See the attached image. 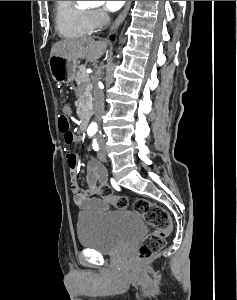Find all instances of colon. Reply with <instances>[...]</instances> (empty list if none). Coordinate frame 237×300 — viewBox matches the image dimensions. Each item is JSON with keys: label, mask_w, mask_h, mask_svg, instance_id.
<instances>
[{"label": "colon", "mask_w": 237, "mask_h": 300, "mask_svg": "<svg viewBox=\"0 0 237 300\" xmlns=\"http://www.w3.org/2000/svg\"><path fill=\"white\" fill-rule=\"evenodd\" d=\"M58 127L66 144L71 145L77 141V136L72 130L66 115L61 114L59 116ZM99 194L117 209H126L128 207L127 197L113 194L112 189L106 184L100 187ZM133 210L143 216L153 229L141 241L137 249L138 260L143 262L155 256L164 247L165 237L172 227L171 217L163 207L144 198H138L133 202Z\"/></svg>", "instance_id": "5ec220e1"}]
</instances>
